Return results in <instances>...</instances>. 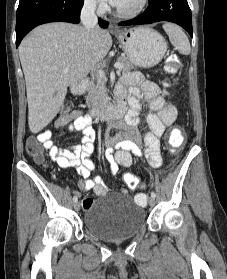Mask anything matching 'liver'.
Returning <instances> with one entry per match:
<instances>
[{
  "label": "liver",
  "instance_id": "liver-1",
  "mask_svg": "<svg viewBox=\"0 0 227 279\" xmlns=\"http://www.w3.org/2000/svg\"><path fill=\"white\" fill-rule=\"evenodd\" d=\"M112 46L108 31L70 23H49L33 29L19 46L26 81L28 124L44 129L63 105L68 86L84 78ZM67 69V72H63Z\"/></svg>",
  "mask_w": 227,
  "mask_h": 279
}]
</instances>
